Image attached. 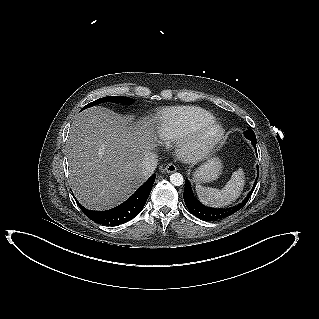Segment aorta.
Masks as SVG:
<instances>
[{"label": "aorta", "instance_id": "762f6f07", "mask_svg": "<svg viewBox=\"0 0 319 319\" xmlns=\"http://www.w3.org/2000/svg\"><path fill=\"white\" fill-rule=\"evenodd\" d=\"M170 182L174 185V186H180L183 184L184 179L183 176L180 173H173L170 176Z\"/></svg>", "mask_w": 319, "mask_h": 319}]
</instances>
